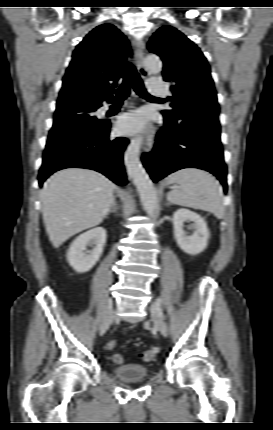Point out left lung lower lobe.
Returning a JSON list of instances; mask_svg holds the SVG:
<instances>
[{"instance_id": "obj_1", "label": "left lung lower lobe", "mask_w": 273, "mask_h": 430, "mask_svg": "<svg viewBox=\"0 0 273 430\" xmlns=\"http://www.w3.org/2000/svg\"><path fill=\"white\" fill-rule=\"evenodd\" d=\"M164 127L153 150L144 154L143 164L154 182L183 168H200L214 174L227 191L226 165L216 116L202 114L192 121H180L162 112Z\"/></svg>"}]
</instances>
